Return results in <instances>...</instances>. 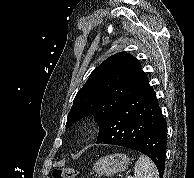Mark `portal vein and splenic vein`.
Returning <instances> with one entry per match:
<instances>
[{
	"mask_svg": "<svg viewBox=\"0 0 194 178\" xmlns=\"http://www.w3.org/2000/svg\"><path fill=\"white\" fill-rule=\"evenodd\" d=\"M127 178H134V177H132V176H128Z\"/></svg>",
	"mask_w": 194,
	"mask_h": 178,
	"instance_id": "18ae733b",
	"label": "portal vein and splenic vein"
}]
</instances>
